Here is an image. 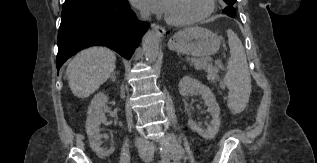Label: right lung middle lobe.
<instances>
[{
  "label": "right lung middle lobe",
  "mask_w": 317,
  "mask_h": 163,
  "mask_svg": "<svg viewBox=\"0 0 317 163\" xmlns=\"http://www.w3.org/2000/svg\"><path fill=\"white\" fill-rule=\"evenodd\" d=\"M122 0H66L63 5L61 18L76 15L84 11L109 6Z\"/></svg>",
  "instance_id": "dd1d6c3e"
}]
</instances>
